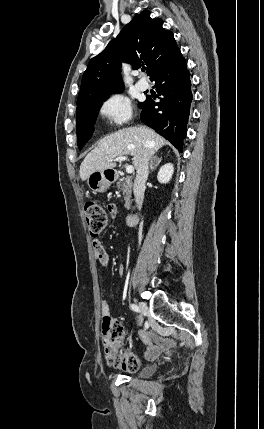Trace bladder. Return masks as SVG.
Returning a JSON list of instances; mask_svg holds the SVG:
<instances>
[{
    "label": "bladder",
    "instance_id": "obj_1",
    "mask_svg": "<svg viewBox=\"0 0 264 429\" xmlns=\"http://www.w3.org/2000/svg\"><path fill=\"white\" fill-rule=\"evenodd\" d=\"M155 370H156L155 366H147V367L142 369V371L140 372V376L141 377H149L155 372Z\"/></svg>",
    "mask_w": 264,
    "mask_h": 429
}]
</instances>
